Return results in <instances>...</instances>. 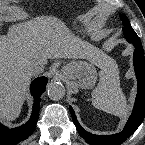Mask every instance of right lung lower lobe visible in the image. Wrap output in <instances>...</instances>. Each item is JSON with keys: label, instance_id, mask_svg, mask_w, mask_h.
<instances>
[{"label": "right lung lower lobe", "instance_id": "obj_1", "mask_svg": "<svg viewBox=\"0 0 145 145\" xmlns=\"http://www.w3.org/2000/svg\"><path fill=\"white\" fill-rule=\"evenodd\" d=\"M47 78L40 77L31 84V93L34 97V104L30 120L24 125L8 129L0 124V145H15L24 139H27L35 129L39 116L40 95L45 90Z\"/></svg>", "mask_w": 145, "mask_h": 145}]
</instances>
